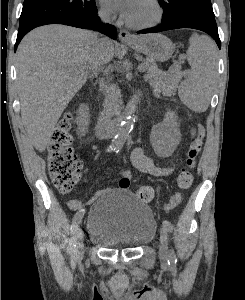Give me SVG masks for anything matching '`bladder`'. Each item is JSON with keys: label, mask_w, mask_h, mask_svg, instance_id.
Segmentation results:
<instances>
[{"label": "bladder", "mask_w": 245, "mask_h": 300, "mask_svg": "<svg viewBox=\"0 0 245 300\" xmlns=\"http://www.w3.org/2000/svg\"><path fill=\"white\" fill-rule=\"evenodd\" d=\"M91 243L103 248L136 249L151 242L157 222L151 208L126 189L103 192L86 221Z\"/></svg>", "instance_id": "1"}]
</instances>
